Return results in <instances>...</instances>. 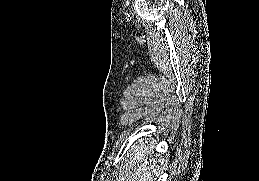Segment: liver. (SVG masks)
I'll use <instances>...</instances> for the list:
<instances>
[{
  "instance_id": "liver-1",
  "label": "liver",
  "mask_w": 259,
  "mask_h": 181,
  "mask_svg": "<svg viewBox=\"0 0 259 181\" xmlns=\"http://www.w3.org/2000/svg\"><path fill=\"white\" fill-rule=\"evenodd\" d=\"M141 144V145H140ZM153 146H146L139 141V144H134L130 152L127 153L129 179L128 181H152V173L155 172L154 166L149 165V162L155 163V158L151 153ZM146 154L149 155L146 157Z\"/></svg>"
}]
</instances>
